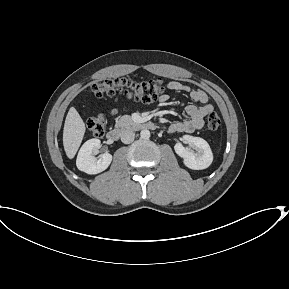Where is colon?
<instances>
[{"label": "colon", "mask_w": 289, "mask_h": 289, "mask_svg": "<svg viewBox=\"0 0 289 289\" xmlns=\"http://www.w3.org/2000/svg\"><path fill=\"white\" fill-rule=\"evenodd\" d=\"M90 92L96 97L105 95L113 96L125 94L144 103L156 100L163 92L164 85L161 79H153L144 82H136L129 78L106 79L103 82L95 83L90 86ZM221 125V119L215 112L207 117L208 129L215 131ZM106 128V118L103 114H96L87 121V130L95 137L103 136Z\"/></svg>", "instance_id": "5ec220e1"}]
</instances>
